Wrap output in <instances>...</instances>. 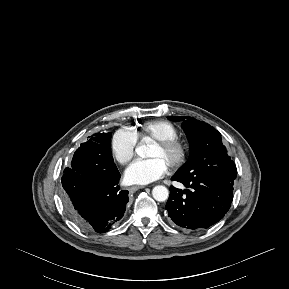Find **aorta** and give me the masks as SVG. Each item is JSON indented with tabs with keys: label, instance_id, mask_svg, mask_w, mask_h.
<instances>
[{
	"label": "aorta",
	"instance_id": "obj_1",
	"mask_svg": "<svg viewBox=\"0 0 289 289\" xmlns=\"http://www.w3.org/2000/svg\"><path fill=\"white\" fill-rule=\"evenodd\" d=\"M136 153L139 156L144 157L145 153H146V146L145 145L138 146L136 148ZM152 195L156 201L163 202V201H166L168 199L169 191L165 186L158 185V186H155L153 188Z\"/></svg>",
	"mask_w": 289,
	"mask_h": 289
}]
</instances>
